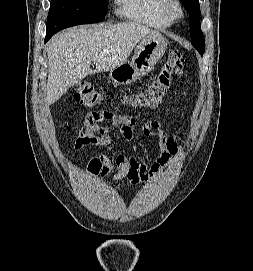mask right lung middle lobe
Masks as SVG:
<instances>
[{
    "label": "right lung middle lobe",
    "instance_id": "1",
    "mask_svg": "<svg viewBox=\"0 0 253 271\" xmlns=\"http://www.w3.org/2000/svg\"><path fill=\"white\" fill-rule=\"evenodd\" d=\"M107 0H51L46 35L70 26L97 23L105 19Z\"/></svg>",
    "mask_w": 253,
    "mask_h": 271
}]
</instances>
